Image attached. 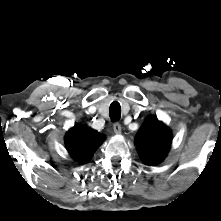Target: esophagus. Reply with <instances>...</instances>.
I'll return each mask as SVG.
<instances>
[{"label":"esophagus","mask_w":221,"mask_h":221,"mask_svg":"<svg viewBox=\"0 0 221 221\" xmlns=\"http://www.w3.org/2000/svg\"><path fill=\"white\" fill-rule=\"evenodd\" d=\"M113 130L116 134H121V130H122L121 125L117 122L114 123Z\"/></svg>","instance_id":"34e87169"}]
</instances>
